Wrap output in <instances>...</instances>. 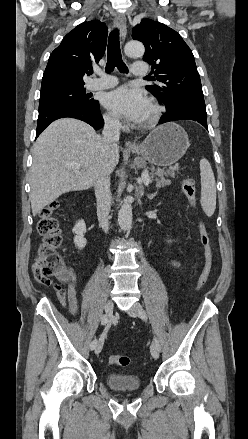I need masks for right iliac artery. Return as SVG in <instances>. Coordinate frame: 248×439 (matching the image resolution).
<instances>
[{
	"label": "right iliac artery",
	"instance_id": "1",
	"mask_svg": "<svg viewBox=\"0 0 248 439\" xmlns=\"http://www.w3.org/2000/svg\"><path fill=\"white\" fill-rule=\"evenodd\" d=\"M106 323H107V317L105 315H103L102 318H101V325L100 326L103 328ZM92 340L93 341L90 344V348L94 349L95 346L97 345V339L94 337Z\"/></svg>",
	"mask_w": 248,
	"mask_h": 439
}]
</instances>
